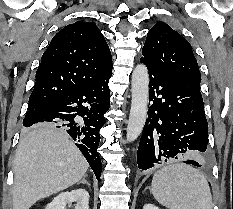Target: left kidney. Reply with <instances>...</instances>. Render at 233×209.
<instances>
[{
  "instance_id": "obj_1",
  "label": "left kidney",
  "mask_w": 233,
  "mask_h": 209,
  "mask_svg": "<svg viewBox=\"0 0 233 209\" xmlns=\"http://www.w3.org/2000/svg\"><path fill=\"white\" fill-rule=\"evenodd\" d=\"M143 209H159V208L153 204H145Z\"/></svg>"
}]
</instances>
